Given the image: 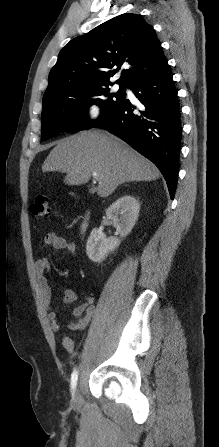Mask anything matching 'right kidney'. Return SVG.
<instances>
[{
    "label": "right kidney",
    "instance_id": "right-kidney-1",
    "mask_svg": "<svg viewBox=\"0 0 219 447\" xmlns=\"http://www.w3.org/2000/svg\"><path fill=\"white\" fill-rule=\"evenodd\" d=\"M139 210V202L130 195L122 196L107 208L106 216L120 237L106 238L100 229L94 228L86 243V253L91 261L100 263L110 252L118 248L122 238L131 232L138 220Z\"/></svg>",
    "mask_w": 219,
    "mask_h": 447
}]
</instances>
